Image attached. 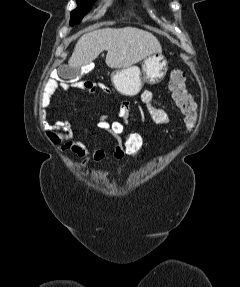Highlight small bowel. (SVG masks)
<instances>
[{"instance_id": "1", "label": "small bowel", "mask_w": 240, "mask_h": 287, "mask_svg": "<svg viewBox=\"0 0 240 287\" xmlns=\"http://www.w3.org/2000/svg\"><path fill=\"white\" fill-rule=\"evenodd\" d=\"M59 88L66 89L64 84L60 83L58 80L54 78L48 80L40 100L41 108L48 109L50 107L52 98ZM96 88L109 97L112 94L111 89L106 85L98 84L92 91H95ZM140 97L142 104L155 124L165 126L170 123L171 119L169 114L165 110L154 105V98L151 91L144 90ZM109 100L114 102L112 98H109ZM117 116L119 121L127 125L130 116V104L127 101H121L119 103ZM109 121L107 116H101L97 122V128L112 138L113 158L116 161H121L125 157L122 144L120 139L113 137L111 130L106 127V124ZM48 138L52 143L58 144L61 151L70 152L79 157L83 168L87 169L90 162L101 163L105 158V151L101 147L94 146L89 149L83 141L78 139L72 124L67 120H58L50 125Z\"/></svg>"}]
</instances>
